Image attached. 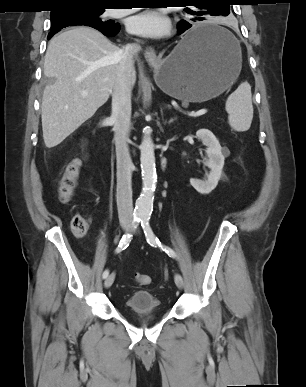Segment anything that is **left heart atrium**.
<instances>
[{"mask_svg": "<svg viewBox=\"0 0 306 387\" xmlns=\"http://www.w3.org/2000/svg\"><path fill=\"white\" fill-rule=\"evenodd\" d=\"M128 31L151 38H158L168 34L170 21L163 14L148 10L131 17L127 24Z\"/></svg>", "mask_w": 306, "mask_h": 387, "instance_id": "obj_1", "label": "left heart atrium"}]
</instances>
